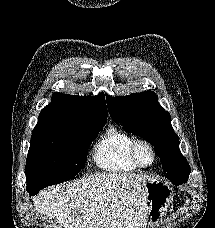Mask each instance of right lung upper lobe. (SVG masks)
Segmentation results:
<instances>
[{
    "label": "right lung upper lobe",
    "mask_w": 215,
    "mask_h": 228,
    "mask_svg": "<svg viewBox=\"0 0 215 228\" xmlns=\"http://www.w3.org/2000/svg\"><path fill=\"white\" fill-rule=\"evenodd\" d=\"M107 116L103 94L93 97L55 93L52 103L40 112L33 133L71 125L106 123Z\"/></svg>",
    "instance_id": "1"
}]
</instances>
